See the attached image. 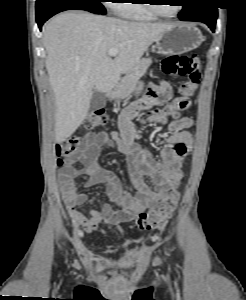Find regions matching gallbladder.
I'll list each match as a JSON object with an SVG mask.
<instances>
[{"label": "gallbladder", "mask_w": 246, "mask_h": 300, "mask_svg": "<svg viewBox=\"0 0 246 300\" xmlns=\"http://www.w3.org/2000/svg\"><path fill=\"white\" fill-rule=\"evenodd\" d=\"M106 105L105 95L98 91L97 89H93L92 97L90 100L89 110L95 111L103 108Z\"/></svg>", "instance_id": "1"}]
</instances>
